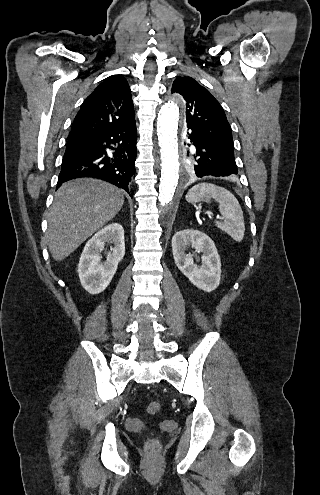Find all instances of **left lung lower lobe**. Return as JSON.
I'll list each match as a JSON object with an SVG mask.
<instances>
[{"mask_svg":"<svg viewBox=\"0 0 320 495\" xmlns=\"http://www.w3.org/2000/svg\"><path fill=\"white\" fill-rule=\"evenodd\" d=\"M188 127V138L191 140L193 149L198 153L194 175L197 177H219L236 175L238 169L236 166L234 153L228 152L206 140L203 136Z\"/></svg>","mask_w":320,"mask_h":495,"instance_id":"left-lung-lower-lobe-1","label":"left lung lower lobe"}]
</instances>
